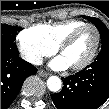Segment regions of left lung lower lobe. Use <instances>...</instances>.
I'll return each mask as SVG.
<instances>
[{
    "mask_svg": "<svg viewBox=\"0 0 109 109\" xmlns=\"http://www.w3.org/2000/svg\"><path fill=\"white\" fill-rule=\"evenodd\" d=\"M63 88L52 95L58 109H97L109 99V47L102 48L95 61L63 79Z\"/></svg>",
    "mask_w": 109,
    "mask_h": 109,
    "instance_id": "left-lung-lower-lobe-1",
    "label": "left lung lower lobe"
}]
</instances>
